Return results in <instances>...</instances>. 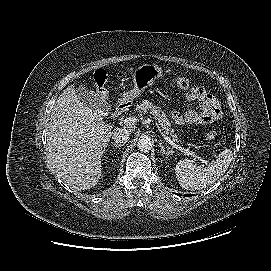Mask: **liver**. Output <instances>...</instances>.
I'll list each match as a JSON object with an SVG mask.
<instances>
[{"label":"liver","instance_id":"1","mask_svg":"<svg viewBox=\"0 0 271 271\" xmlns=\"http://www.w3.org/2000/svg\"><path fill=\"white\" fill-rule=\"evenodd\" d=\"M112 128L79 100L73 85L68 86L54 105L47 132L48 159L57 176L77 190L94 187Z\"/></svg>","mask_w":271,"mask_h":271}]
</instances>
